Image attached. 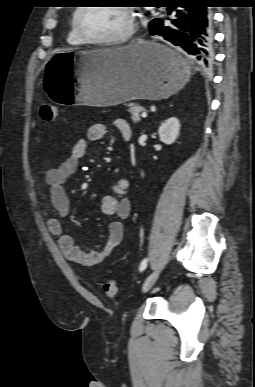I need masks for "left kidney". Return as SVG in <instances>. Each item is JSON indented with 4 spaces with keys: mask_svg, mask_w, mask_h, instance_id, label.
I'll return each instance as SVG.
<instances>
[{
    "mask_svg": "<svg viewBox=\"0 0 255 387\" xmlns=\"http://www.w3.org/2000/svg\"><path fill=\"white\" fill-rule=\"evenodd\" d=\"M180 131V122L176 117H171L167 119L158 130L160 140L167 144L171 145L175 142L179 135Z\"/></svg>",
    "mask_w": 255,
    "mask_h": 387,
    "instance_id": "left-kidney-1",
    "label": "left kidney"
}]
</instances>
